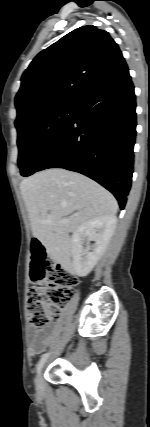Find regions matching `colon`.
Returning <instances> with one entry per match:
<instances>
[{"label": "colon", "instance_id": "colon-1", "mask_svg": "<svg viewBox=\"0 0 150 427\" xmlns=\"http://www.w3.org/2000/svg\"><path fill=\"white\" fill-rule=\"evenodd\" d=\"M31 278L36 284L28 290L29 322L46 326L60 317L73 297L77 277L47 255L38 239L31 242Z\"/></svg>", "mask_w": 150, "mask_h": 427}]
</instances>
